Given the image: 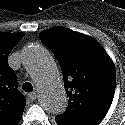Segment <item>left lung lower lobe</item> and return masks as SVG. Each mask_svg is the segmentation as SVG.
Here are the masks:
<instances>
[{
	"label": "left lung lower lobe",
	"mask_w": 125,
	"mask_h": 125,
	"mask_svg": "<svg viewBox=\"0 0 125 125\" xmlns=\"http://www.w3.org/2000/svg\"><path fill=\"white\" fill-rule=\"evenodd\" d=\"M55 121H56V123H57L58 125H72V124L63 122V121L59 120L58 118H55Z\"/></svg>",
	"instance_id": "left-lung-lower-lobe-1"
}]
</instances>
